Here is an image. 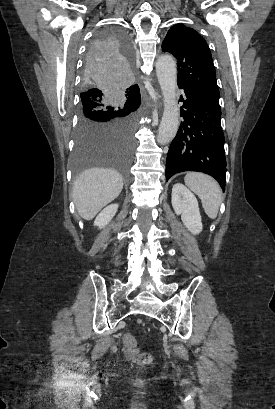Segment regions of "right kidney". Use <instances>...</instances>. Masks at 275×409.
Here are the masks:
<instances>
[{
    "instance_id": "right-kidney-1",
    "label": "right kidney",
    "mask_w": 275,
    "mask_h": 409,
    "mask_svg": "<svg viewBox=\"0 0 275 409\" xmlns=\"http://www.w3.org/2000/svg\"><path fill=\"white\" fill-rule=\"evenodd\" d=\"M118 207L119 205H108V207H105V209L99 213L98 217H96L94 227L104 229V227L110 223L111 219H113L115 213H117Z\"/></svg>"
}]
</instances>
